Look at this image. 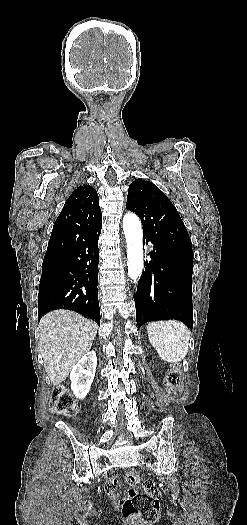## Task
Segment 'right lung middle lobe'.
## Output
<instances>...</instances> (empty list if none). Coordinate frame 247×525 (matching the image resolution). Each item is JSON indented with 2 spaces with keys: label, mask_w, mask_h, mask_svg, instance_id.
<instances>
[{
  "label": "right lung middle lobe",
  "mask_w": 247,
  "mask_h": 525,
  "mask_svg": "<svg viewBox=\"0 0 247 525\" xmlns=\"http://www.w3.org/2000/svg\"><path fill=\"white\" fill-rule=\"evenodd\" d=\"M58 258H59V256H51V257L45 258L43 262L53 261V260H56Z\"/></svg>",
  "instance_id": "1"
}]
</instances>
